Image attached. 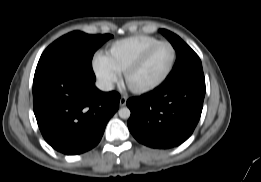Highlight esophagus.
Returning a JSON list of instances; mask_svg holds the SVG:
<instances>
[{
	"instance_id": "obj_1",
	"label": "esophagus",
	"mask_w": 261,
	"mask_h": 182,
	"mask_svg": "<svg viewBox=\"0 0 261 182\" xmlns=\"http://www.w3.org/2000/svg\"><path fill=\"white\" fill-rule=\"evenodd\" d=\"M126 101H127V97L121 96L120 102H119L120 106L121 107L125 106L126 105Z\"/></svg>"
}]
</instances>
